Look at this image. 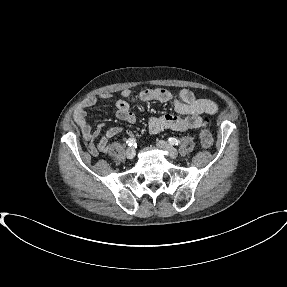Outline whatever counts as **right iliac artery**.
Wrapping results in <instances>:
<instances>
[{
    "label": "right iliac artery",
    "mask_w": 287,
    "mask_h": 287,
    "mask_svg": "<svg viewBox=\"0 0 287 287\" xmlns=\"http://www.w3.org/2000/svg\"><path fill=\"white\" fill-rule=\"evenodd\" d=\"M126 143L128 146H133L136 144V140L134 138H129Z\"/></svg>",
    "instance_id": "1"
}]
</instances>
